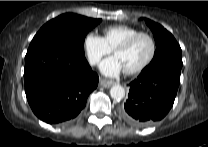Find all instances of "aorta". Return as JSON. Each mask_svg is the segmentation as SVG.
Masks as SVG:
<instances>
[{
  "instance_id": "aorta-1",
  "label": "aorta",
  "mask_w": 208,
  "mask_h": 147,
  "mask_svg": "<svg viewBox=\"0 0 208 147\" xmlns=\"http://www.w3.org/2000/svg\"><path fill=\"white\" fill-rule=\"evenodd\" d=\"M110 96L115 100H121L125 96V89L121 85H114L110 89Z\"/></svg>"
}]
</instances>
